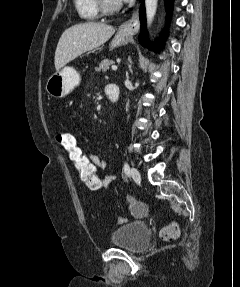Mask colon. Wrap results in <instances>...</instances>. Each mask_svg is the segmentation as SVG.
I'll return each instance as SVG.
<instances>
[{
  "label": "colon",
  "instance_id": "colon-1",
  "mask_svg": "<svg viewBox=\"0 0 240 287\" xmlns=\"http://www.w3.org/2000/svg\"><path fill=\"white\" fill-rule=\"evenodd\" d=\"M55 139L79 179L92 191L101 189L103 187V177L99 174L98 168L89 159L88 154L80 148L75 137L69 132H59ZM144 214L139 212L137 216ZM125 221V217L120 216L117 218V223L119 224ZM179 233L178 225L171 223L161 230L160 236L164 240H174L179 236Z\"/></svg>",
  "mask_w": 240,
  "mask_h": 287
}]
</instances>
